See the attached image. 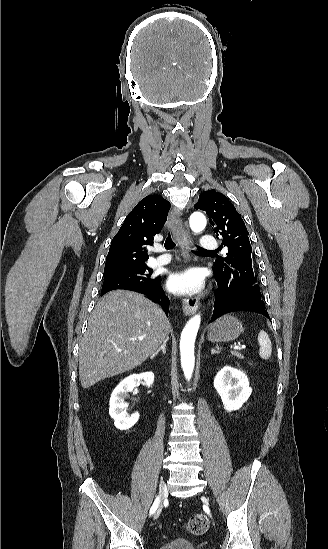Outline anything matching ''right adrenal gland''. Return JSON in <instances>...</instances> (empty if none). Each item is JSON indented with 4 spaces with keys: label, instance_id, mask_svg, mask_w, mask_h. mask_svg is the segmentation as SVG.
I'll use <instances>...</instances> for the list:
<instances>
[{
    "label": "right adrenal gland",
    "instance_id": "1",
    "mask_svg": "<svg viewBox=\"0 0 328 549\" xmlns=\"http://www.w3.org/2000/svg\"><path fill=\"white\" fill-rule=\"evenodd\" d=\"M165 347H166V341H165V343H163L162 347H160V349H158V351H156V353H154V355H152L151 359H154V357H156V355H158V353H160V351H163V353H166Z\"/></svg>",
    "mask_w": 328,
    "mask_h": 549
}]
</instances>
